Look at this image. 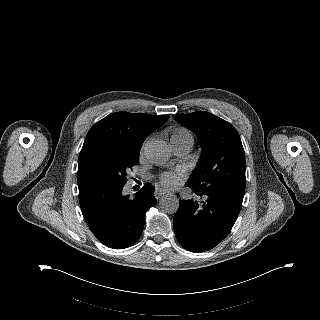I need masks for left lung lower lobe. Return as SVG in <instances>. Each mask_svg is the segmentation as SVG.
<instances>
[{"instance_id": "obj_1", "label": "left lung lower lobe", "mask_w": 320, "mask_h": 320, "mask_svg": "<svg viewBox=\"0 0 320 320\" xmlns=\"http://www.w3.org/2000/svg\"><path fill=\"white\" fill-rule=\"evenodd\" d=\"M204 201L180 200L173 225L177 240L188 251L201 253L218 245L231 231L242 207L243 190L224 186L196 192Z\"/></svg>"}]
</instances>
